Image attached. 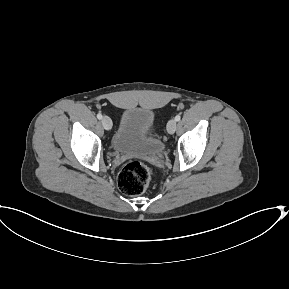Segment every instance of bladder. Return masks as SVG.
<instances>
[{
  "label": "bladder",
  "mask_w": 289,
  "mask_h": 289,
  "mask_svg": "<svg viewBox=\"0 0 289 289\" xmlns=\"http://www.w3.org/2000/svg\"><path fill=\"white\" fill-rule=\"evenodd\" d=\"M111 146L118 153L140 157H157L165 149L154 129L153 112L141 107L123 111Z\"/></svg>",
  "instance_id": "1"
}]
</instances>
